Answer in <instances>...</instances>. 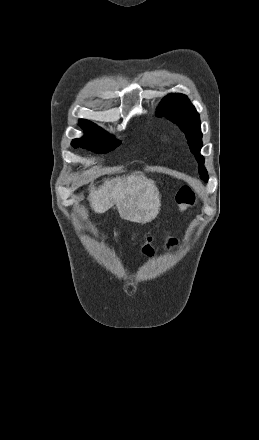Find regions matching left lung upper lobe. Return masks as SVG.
Here are the masks:
<instances>
[{
  "label": "left lung upper lobe",
  "instance_id": "obj_1",
  "mask_svg": "<svg viewBox=\"0 0 259 440\" xmlns=\"http://www.w3.org/2000/svg\"><path fill=\"white\" fill-rule=\"evenodd\" d=\"M156 115L165 116L176 123L185 133L191 152L199 164V174L202 180L208 181V174L204 167V158L200 155L202 147V133L200 118L194 106L183 94H170L160 102Z\"/></svg>",
  "mask_w": 259,
  "mask_h": 440
}]
</instances>
